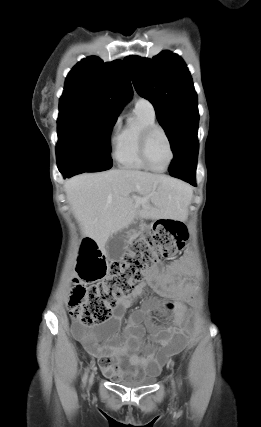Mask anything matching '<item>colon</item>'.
<instances>
[{
  "instance_id": "5ec220e1",
  "label": "colon",
  "mask_w": 261,
  "mask_h": 427,
  "mask_svg": "<svg viewBox=\"0 0 261 427\" xmlns=\"http://www.w3.org/2000/svg\"><path fill=\"white\" fill-rule=\"evenodd\" d=\"M185 226L174 220H159L151 230L132 241L121 261L108 262L92 239L81 245L78 273L69 300L71 317L84 326L108 321L116 301L132 293L145 274L163 259L180 253L187 240Z\"/></svg>"
}]
</instances>
